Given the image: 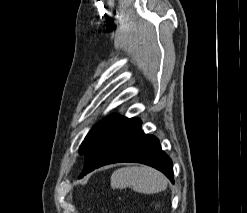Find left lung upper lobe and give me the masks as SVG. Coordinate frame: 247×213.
I'll return each instance as SVG.
<instances>
[{"label": "left lung upper lobe", "instance_id": "5c2ea615", "mask_svg": "<svg viewBox=\"0 0 247 213\" xmlns=\"http://www.w3.org/2000/svg\"><path fill=\"white\" fill-rule=\"evenodd\" d=\"M119 119V116L116 114H113L105 119H103L101 122L96 124L87 134L85 137L81 148L79 149V154H85L87 149L90 147V145L104 132H106L117 120Z\"/></svg>", "mask_w": 247, "mask_h": 213}]
</instances>
